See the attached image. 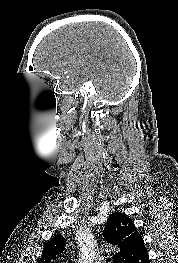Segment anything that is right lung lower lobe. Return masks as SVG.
<instances>
[{"instance_id": "obj_1", "label": "right lung lower lobe", "mask_w": 178, "mask_h": 263, "mask_svg": "<svg viewBox=\"0 0 178 263\" xmlns=\"http://www.w3.org/2000/svg\"><path fill=\"white\" fill-rule=\"evenodd\" d=\"M132 263H150L147 250L140 254Z\"/></svg>"}]
</instances>
